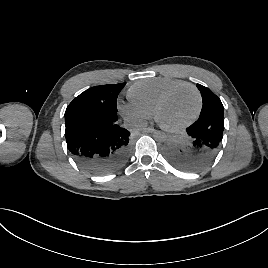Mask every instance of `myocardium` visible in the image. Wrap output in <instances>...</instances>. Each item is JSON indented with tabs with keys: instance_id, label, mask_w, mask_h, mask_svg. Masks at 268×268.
Listing matches in <instances>:
<instances>
[{
	"instance_id": "1",
	"label": "myocardium",
	"mask_w": 268,
	"mask_h": 268,
	"mask_svg": "<svg viewBox=\"0 0 268 268\" xmlns=\"http://www.w3.org/2000/svg\"><path fill=\"white\" fill-rule=\"evenodd\" d=\"M183 87H188V88L192 89L194 91V93L196 94V97H197V108H196V111H195L194 115L190 119H188L187 121L183 122L180 125H177V126H169V125H166L159 118L160 109L162 108V106L164 105V103L177 90H179V89H181ZM202 104H203V100H202V95H201L199 89L195 85H193L191 83L182 82V83L176 84V85L172 86L171 88H169L160 97V99L158 100V102L156 103L155 108H154V118H155L156 122L159 124V126L161 128H163V129H165L167 131H171V132L180 131V130H183L184 128L190 126L191 124H193L197 120V118L199 117V115L201 113V110H202Z\"/></svg>"
}]
</instances>
